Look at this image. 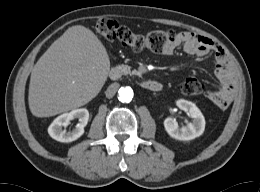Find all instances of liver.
Listing matches in <instances>:
<instances>
[{"instance_id": "1", "label": "liver", "mask_w": 260, "mask_h": 192, "mask_svg": "<svg viewBox=\"0 0 260 192\" xmlns=\"http://www.w3.org/2000/svg\"><path fill=\"white\" fill-rule=\"evenodd\" d=\"M110 71L106 48L88 28H68L35 64L28 103L36 117L83 106L101 91Z\"/></svg>"}]
</instances>
